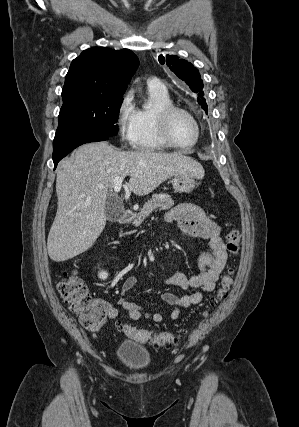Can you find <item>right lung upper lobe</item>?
Instances as JSON below:
<instances>
[{
    "label": "right lung upper lobe",
    "instance_id": "obj_1",
    "mask_svg": "<svg viewBox=\"0 0 299 427\" xmlns=\"http://www.w3.org/2000/svg\"><path fill=\"white\" fill-rule=\"evenodd\" d=\"M138 64V58L128 49H87L72 61L62 98L81 94L122 96Z\"/></svg>",
    "mask_w": 299,
    "mask_h": 427
}]
</instances>
